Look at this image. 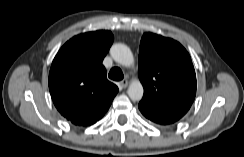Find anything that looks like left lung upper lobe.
I'll return each mask as SVG.
<instances>
[{"label": "left lung upper lobe", "mask_w": 244, "mask_h": 157, "mask_svg": "<svg viewBox=\"0 0 244 157\" xmlns=\"http://www.w3.org/2000/svg\"><path fill=\"white\" fill-rule=\"evenodd\" d=\"M138 76L144 87L138 107L152 122L172 124L191 107L196 95V75L189 53L179 42L144 33Z\"/></svg>", "instance_id": "left-lung-upper-lobe-1"}]
</instances>
